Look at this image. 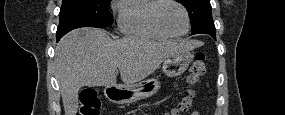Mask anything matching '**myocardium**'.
I'll return each instance as SVG.
<instances>
[{
	"label": "myocardium",
	"mask_w": 285,
	"mask_h": 115,
	"mask_svg": "<svg viewBox=\"0 0 285 115\" xmlns=\"http://www.w3.org/2000/svg\"><path fill=\"white\" fill-rule=\"evenodd\" d=\"M167 3H173V4H176L178 5L184 12V15H185V19H186V28L185 30L180 33V34H173L171 33L170 31H168L164 26L163 24L161 23L160 21V9L161 7L164 5V4H167ZM153 21H154V24L157 26V28L163 32L165 35H167L168 37L170 38H180V37H183L185 36L189 29H190V15H189V12L187 10V8L179 1H175V0H159L155 9H154V13H153Z\"/></svg>",
	"instance_id": "f54148a6"
}]
</instances>
